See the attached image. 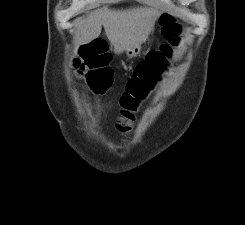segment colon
I'll return each instance as SVG.
<instances>
[{
    "instance_id": "5ec220e1",
    "label": "colon",
    "mask_w": 245,
    "mask_h": 225,
    "mask_svg": "<svg viewBox=\"0 0 245 225\" xmlns=\"http://www.w3.org/2000/svg\"><path fill=\"white\" fill-rule=\"evenodd\" d=\"M162 34L168 44H162L159 51L151 52L147 58L141 60L133 69L126 89L121 95L123 108L121 109L116 128L125 137L129 136L136 127L137 115L142 103L153 88L162 71L159 55L170 48V44H176L180 34V25L172 14L163 12L160 16ZM80 59L87 62V80L96 94L106 93L113 84V69L110 66V54L102 41L92 40L85 45L76 61Z\"/></svg>"
}]
</instances>
